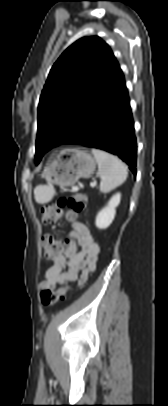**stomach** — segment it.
Wrapping results in <instances>:
<instances>
[{
    "label": "stomach",
    "mask_w": 168,
    "mask_h": 406,
    "mask_svg": "<svg viewBox=\"0 0 168 406\" xmlns=\"http://www.w3.org/2000/svg\"><path fill=\"white\" fill-rule=\"evenodd\" d=\"M95 168V159L86 151L64 149L47 164L42 177L51 185L72 186L80 178L91 177Z\"/></svg>",
    "instance_id": "1"
}]
</instances>
